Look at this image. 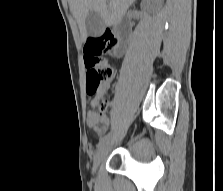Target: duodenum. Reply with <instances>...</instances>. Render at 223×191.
Returning a JSON list of instances; mask_svg holds the SVG:
<instances>
[{"instance_id": "1", "label": "duodenum", "mask_w": 223, "mask_h": 191, "mask_svg": "<svg viewBox=\"0 0 223 191\" xmlns=\"http://www.w3.org/2000/svg\"><path fill=\"white\" fill-rule=\"evenodd\" d=\"M129 28L130 27L128 26V22L126 21V18L121 20L116 27V30H117L119 36L122 37L124 40L122 45L125 44L126 39L129 35ZM118 52L122 53V48L118 49Z\"/></svg>"}]
</instances>
